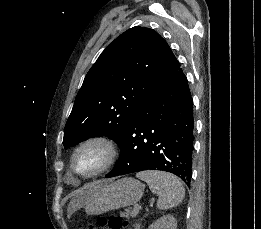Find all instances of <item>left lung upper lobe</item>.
<instances>
[{"label": "left lung upper lobe", "mask_w": 261, "mask_h": 229, "mask_svg": "<svg viewBox=\"0 0 261 229\" xmlns=\"http://www.w3.org/2000/svg\"><path fill=\"white\" fill-rule=\"evenodd\" d=\"M180 68L154 30L133 27L110 43L87 73L64 129L65 149L108 135L119 146L150 93Z\"/></svg>", "instance_id": "obj_1"}]
</instances>
